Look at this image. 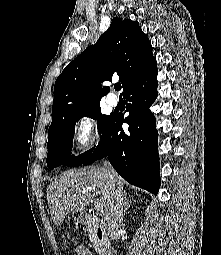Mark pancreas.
<instances>
[{"mask_svg":"<svg viewBox=\"0 0 221 255\" xmlns=\"http://www.w3.org/2000/svg\"><path fill=\"white\" fill-rule=\"evenodd\" d=\"M102 224V221L96 216L90 217L85 223L86 229L90 234V240L94 243V247L100 252L103 250V248L100 242L97 240L96 231Z\"/></svg>","mask_w":221,"mask_h":255,"instance_id":"obj_1","label":"pancreas"}]
</instances>
